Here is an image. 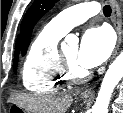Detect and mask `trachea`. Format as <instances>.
<instances>
[{
    "instance_id": "obj_1",
    "label": "trachea",
    "mask_w": 123,
    "mask_h": 113,
    "mask_svg": "<svg viewBox=\"0 0 123 113\" xmlns=\"http://www.w3.org/2000/svg\"><path fill=\"white\" fill-rule=\"evenodd\" d=\"M111 7L109 5H105L103 7V13L105 16H110L111 15Z\"/></svg>"
}]
</instances>
